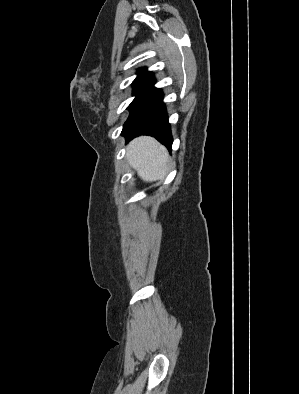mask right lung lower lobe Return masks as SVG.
<instances>
[{"label": "right lung lower lobe", "mask_w": 299, "mask_h": 394, "mask_svg": "<svg viewBox=\"0 0 299 394\" xmlns=\"http://www.w3.org/2000/svg\"><path fill=\"white\" fill-rule=\"evenodd\" d=\"M129 110L122 130L127 142L140 135H150L171 149L173 139L160 88L147 90Z\"/></svg>", "instance_id": "1"}]
</instances>
